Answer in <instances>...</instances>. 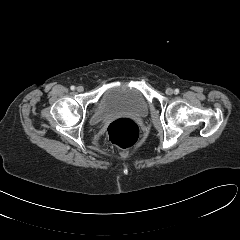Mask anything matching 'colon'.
<instances>
[{
	"mask_svg": "<svg viewBox=\"0 0 240 240\" xmlns=\"http://www.w3.org/2000/svg\"><path fill=\"white\" fill-rule=\"evenodd\" d=\"M139 136V126L130 119L115 120L107 129V143L111 147H130L138 141Z\"/></svg>",
	"mask_w": 240,
	"mask_h": 240,
	"instance_id": "5ec220e1",
	"label": "colon"
}]
</instances>
